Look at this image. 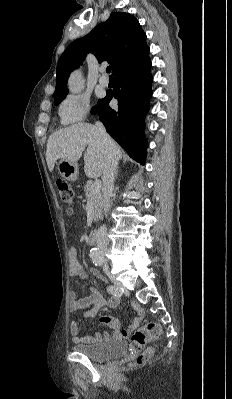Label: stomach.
<instances>
[{"mask_svg":"<svg viewBox=\"0 0 232 399\" xmlns=\"http://www.w3.org/2000/svg\"><path fill=\"white\" fill-rule=\"evenodd\" d=\"M58 174L64 178V180H69V182H75L78 180V164L76 162H66V160H60L57 164Z\"/></svg>","mask_w":232,"mask_h":399,"instance_id":"1","label":"stomach"}]
</instances>
